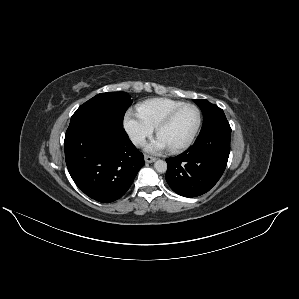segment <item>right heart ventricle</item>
<instances>
[{
    "mask_svg": "<svg viewBox=\"0 0 299 299\" xmlns=\"http://www.w3.org/2000/svg\"><path fill=\"white\" fill-rule=\"evenodd\" d=\"M184 104L183 101L158 97L145 100L137 105L138 114L151 126L159 122L173 109Z\"/></svg>",
    "mask_w": 299,
    "mask_h": 299,
    "instance_id": "obj_1",
    "label": "right heart ventricle"
}]
</instances>
